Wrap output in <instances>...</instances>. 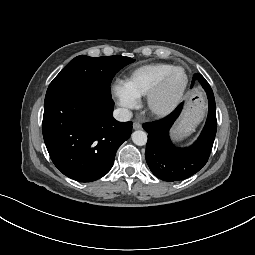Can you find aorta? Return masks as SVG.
<instances>
[{"instance_id":"obj_1","label":"aorta","mask_w":255,"mask_h":255,"mask_svg":"<svg viewBox=\"0 0 255 255\" xmlns=\"http://www.w3.org/2000/svg\"><path fill=\"white\" fill-rule=\"evenodd\" d=\"M132 141L138 146H143L147 143V134L142 130H137L132 133Z\"/></svg>"}]
</instances>
